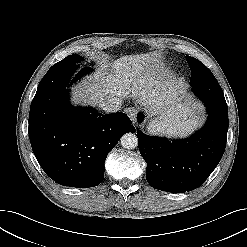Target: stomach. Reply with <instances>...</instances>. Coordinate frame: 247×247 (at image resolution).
<instances>
[{"instance_id": "obj_1", "label": "stomach", "mask_w": 247, "mask_h": 247, "mask_svg": "<svg viewBox=\"0 0 247 247\" xmlns=\"http://www.w3.org/2000/svg\"><path fill=\"white\" fill-rule=\"evenodd\" d=\"M183 108L184 106L181 104H176L158 113L155 119L150 122L151 132L181 134L189 131L194 122L192 119L197 121L200 116L197 113L190 115Z\"/></svg>"}]
</instances>
